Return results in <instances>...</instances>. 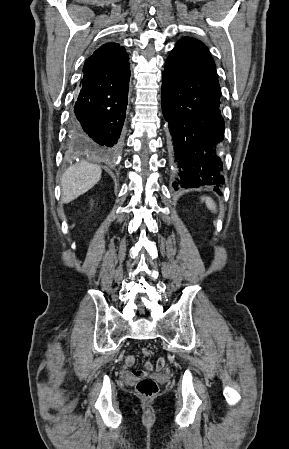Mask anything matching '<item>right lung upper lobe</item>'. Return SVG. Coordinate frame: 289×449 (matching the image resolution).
I'll return each instance as SVG.
<instances>
[{"label":"right lung upper lobe","instance_id":"right-lung-upper-lobe-1","mask_svg":"<svg viewBox=\"0 0 289 449\" xmlns=\"http://www.w3.org/2000/svg\"><path fill=\"white\" fill-rule=\"evenodd\" d=\"M128 54L116 43H106L97 49L85 62L84 74H107L128 65Z\"/></svg>","mask_w":289,"mask_h":449}]
</instances>
